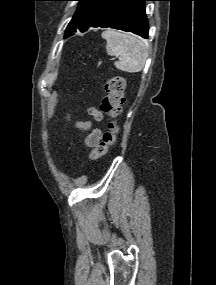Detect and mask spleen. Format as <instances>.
<instances>
[{
    "instance_id": "1",
    "label": "spleen",
    "mask_w": 216,
    "mask_h": 285,
    "mask_svg": "<svg viewBox=\"0 0 216 285\" xmlns=\"http://www.w3.org/2000/svg\"><path fill=\"white\" fill-rule=\"evenodd\" d=\"M106 40V51L109 55L119 57L115 67L128 73L140 72L148 57L146 42L140 37L115 30H106L102 33Z\"/></svg>"
}]
</instances>
